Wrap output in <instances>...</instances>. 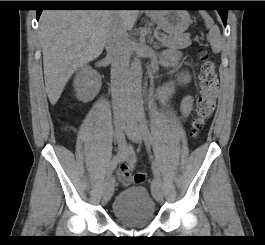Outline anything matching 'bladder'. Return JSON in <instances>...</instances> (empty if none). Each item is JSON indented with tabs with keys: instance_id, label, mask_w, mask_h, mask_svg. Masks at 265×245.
Instances as JSON below:
<instances>
[{
	"instance_id": "31cf9c89",
	"label": "bladder",
	"mask_w": 265,
	"mask_h": 245,
	"mask_svg": "<svg viewBox=\"0 0 265 245\" xmlns=\"http://www.w3.org/2000/svg\"><path fill=\"white\" fill-rule=\"evenodd\" d=\"M114 218L124 226L149 224L156 215V205L149 191L140 184L122 190L112 205Z\"/></svg>"
}]
</instances>
